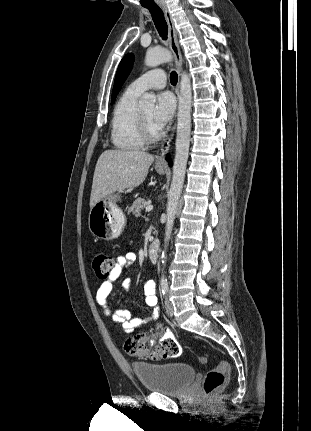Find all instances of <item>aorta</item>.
<instances>
[{
	"label": "aorta",
	"mask_w": 311,
	"mask_h": 431,
	"mask_svg": "<svg viewBox=\"0 0 311 431\" xmlns=\"http://www.w3.org/2000/svg\"><path fill=\"white\" fill-rule=\"evenodd\" d=\"M167 62H172V54L169 52V50H156V48H149V50H147L145 56V66L155 68V66H159V64H167ZM180 76V102L178 108V122L175 144L176 152L174 158L172 182L166 206V229L164 237V249L162 251L163 265H166V251L169 239L171 237L181 192L183 190L190 146L192 102L191 82L186 72H182ZM155 104V94H143V96L140 98V108H154ZM161 281H166L164 275H161Z\"/></svg>",
	"instance_id": "762f6f07"
}]
</instances>
